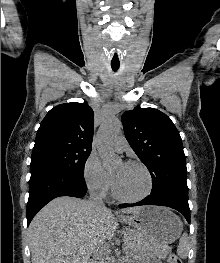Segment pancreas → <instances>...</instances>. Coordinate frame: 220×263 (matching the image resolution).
I'll list each match as a JSON object with an SVG mask.
<instances>
[{"mask_svg":"<svg viewBox=\"0 0 220 263\" xmlns=\"http://www.w3.org/2000/svg\"><path fill=\"white\" fill-rule=\"evenodd\" d=\"M124 235H125V245L127 246V248L135 249L139 247L140 243H139L137 231L128 229L124 232ZM149 249L152 250L159 258H166L167 254L171 251L169 247L162 245H153ZM103 259L104 256L98 259L97 262L104 263Z\"/></svg>","mask_w":220,"mask_h":263,"instance_id":"cf45deb5","label":"pancreas"}]
</instances>
